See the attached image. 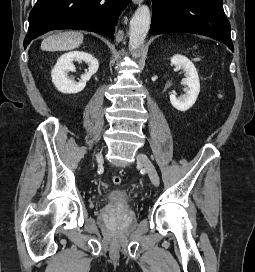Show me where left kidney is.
Instances as JSON below:
<instances>
[{"instance_id":"obj_1","label":"left kidney","mask_w":255,"mask_h":272,"mask_svg":"<svg viewBox=\"0 0 255 272\" xmlns=\"http://www.w3.org/2000/svg\"><path fill=\"white\" fill-rule=\"evenodd\" d=\"M171 64L185 72L186 78L182 82L186 85L184 89L186 94L179 98H177L175 94H171L170 102L175 109L185 112L194 105L200 92L198 72L194 64L187 57L182 55H174L171 58Z\"/></svg>"}]
</instances>
